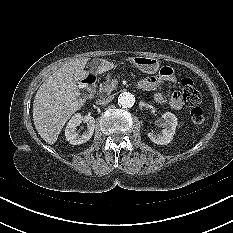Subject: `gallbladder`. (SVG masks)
<instances>
[{
    "label": "gallbladder",
    "instance_id": "gallbladder-1",
    "mask_svg": "<svg viewBox=\"0 0 233 233\" xmlns=\"http://www.w3.org/2000/svg\"><path fill=\"white\" fill-rule=\"evenodd\" d=\"M95 62H96V60H94V61L91 63V65H90V66L92 67V66L94 65V63H95Z\"/></svg>",
    "mask_w": 233,
    "mask_h": 233
}]
</instances>
